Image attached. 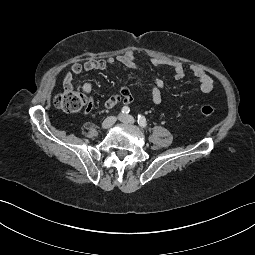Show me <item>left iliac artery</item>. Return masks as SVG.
Segmentation results:
<instances>
[{
    "label": "left iliac artery",
    "mask_w": 255,
    "mask_h": 255,
    "mask_svg": "<svg viewBox=\"0 0 255 255\" xmlns=\"http://www.w3.org/2000/svg\"><path fill=\"white\" fill-rule=\"evenodd\" d=\"M138 124L141 126V127H146L147 126V122H146V119L144 116L142 115H138Z\"/></svg>",
    "instance_id": "left-iliac-artery-1"
}]
</instances>
